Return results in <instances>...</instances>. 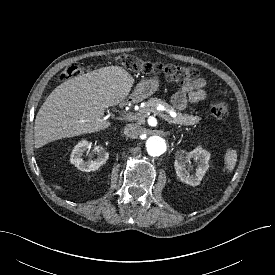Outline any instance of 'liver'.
Instances as JSON below:
<instances>
[{"mask_svg": "<svg viewBox=\"0 0 275 275\" xmlns=\"http://www.w3.org/2000/svg\"><path fill=\"white\" fill-rule=\"evenodd\" d=\"M133 77L122 67H103L66 80L39 109L34 125L35 148L62 138L104 130V111L125 101Z\"/></svg>", "mask_w": 275, "mask_h": 275, "instance_id": "liver-1", "label": "liver"}]
</instances>
